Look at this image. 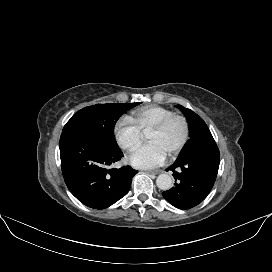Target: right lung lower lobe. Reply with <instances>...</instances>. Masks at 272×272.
<instances>
[{
	"label": "right lung lower lobe",
	"instance_id": "98d812e1",
	"mask_svg": "<svg viewBox=\"0 0 272 272\" xmlns=\"http://www.w3.org/2000/svg\"><path fill=\"white\" fill-rule=\"evenodd\" d=\"M59 145L64 181L84 205L105 209L128 192L138 171L130 166L111 167L123 156L119 147L80 132L61 134Z\"/></svg>",
	"mask_w": 272,
	"mask_h": 272
}]
</instances>
